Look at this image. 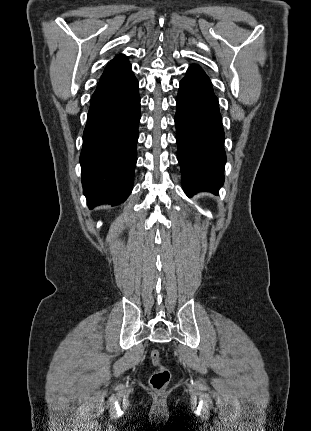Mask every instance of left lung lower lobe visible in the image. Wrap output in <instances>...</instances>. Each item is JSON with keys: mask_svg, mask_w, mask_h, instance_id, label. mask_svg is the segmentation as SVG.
<instances>
[{"mask_svg": "<svg viewBox=\"0 0 311 431\" xmlns=\"http://www.w3.org/2000/svg\"><path fill=\"white\" fill-rule=\"evenodd\" d=\"M177 158L183 189L188 196L199 191L218 194L224 182V131L209 77L192 65L180 82L176 99Z\"/></svg>", "mask_w": 311, "mask_h": 431, "instance_id": "0a47b994", "label": "left lung lower lobe"}]
</instances>
